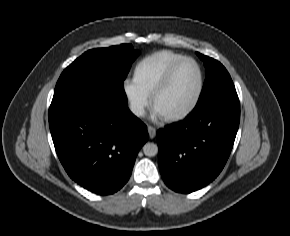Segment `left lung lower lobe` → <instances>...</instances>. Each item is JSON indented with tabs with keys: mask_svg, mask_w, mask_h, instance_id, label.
Segmentation results:
<instances>
[{
	"mask_svg": "<svg viewBox=\"0 0 290 236\" xmlns=\"http://www.w3.org/2000/svg\"><path fill=\"white\" fill-rule=\"evenodd\" d=\"M240 103L236 90L194 109L184 120L158 130L159 168L165 184L190 193L223 169L237 134Z\"/></svg>",
	"mask_w": 290,
	"mask_h": 236,
	"instance_id": "0a47b994",
	"label": "left lung lower lobe"
}]
</instances>
